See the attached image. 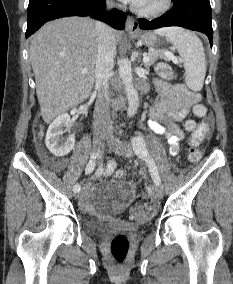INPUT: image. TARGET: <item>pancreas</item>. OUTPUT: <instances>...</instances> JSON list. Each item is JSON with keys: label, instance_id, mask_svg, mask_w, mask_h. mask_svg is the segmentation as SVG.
I'll return each mask as SVG.
<instances>
[{"label": "pancreas", "instance_id": "cf45deb5", "mask_svg": "<svg viewBox=\"0 0 233 284\" xmlns=\"http://www.w3.org/2000/svg\"><path fill=\"white\" fill-rule=\"evenodd\" d=\"M149 57V61L144 63L146 69H149L151 65H153L159 58L167 59L165 56V50H152L147 53Z\"/></svg>", "mask_w": 233, "mask_h": 284}]
</instances>
